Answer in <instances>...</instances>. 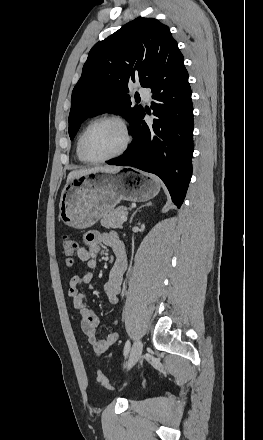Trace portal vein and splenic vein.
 I'll list each match as a JSON object with an SVG mask.
<instances>
[{
	"label": "portal vein and splenic vein",
	"instance_id": "18ae733b",
	"mask_svg": "<svg viewBox=\"0 0 263 440\" xmlns=\"http://www.w3.org/2000/svg\"><path fill=\"white\" fill-rule=\"evenodd\" d=\"M121 220H122L123 222H126V221H127V215H123V216H121Z\"/></svg>",
	"mask_w": 263,
	"mask_h": 440
}]
</instances>
